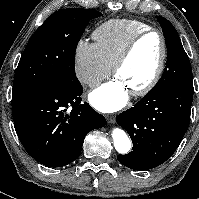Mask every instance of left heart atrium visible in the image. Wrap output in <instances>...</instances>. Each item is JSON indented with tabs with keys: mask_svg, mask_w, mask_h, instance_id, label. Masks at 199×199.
I'll return each instance as SVG.
<instances>
[{
	"mask_svg": "<svg viewBox=\"0 0 199 199\" xmlns=\"http://www.w3.org/2000/svg\"><path fill=\"white\" fill-rule=\"evenodd\" d=\"M128 99L129 90L119 78L101 85L89 94L90 103L104 113L120 110L126 105Z\"/></svg>",
	"mask_w": 199,
	"mask_h": 199,
	"instance_id": "left-heart-atrium-1",
	"label": "left heart atrium"
}]
</instances>
